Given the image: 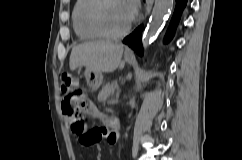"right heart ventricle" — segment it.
<instances>
[{
	"label": "right heart ventricle",
	"mask_w": 242,
	"mask_h": 160,
	"mask_svg": "<svg viewBox=\"0 0 242 160\" xmlns=\"http://www.w3.org/2000/svg\"><path fill=\"white\" fill-rule=\"evenodd\" d=\"M96 0H77L72 11V24L76 36L82 41H91L101 37L93 29L89 20L91 7Z\"/></svg>",
	"instance_id": "obj_1"
}]
</instances>
